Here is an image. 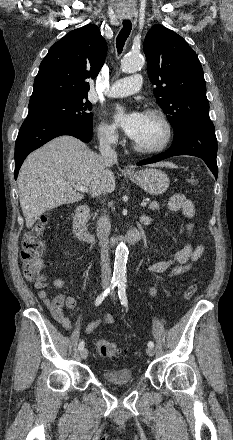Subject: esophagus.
Here are the masks:
<instances>
[{
  "instance_id": "esophagus-1",
  "label": "esophagus",
  "mask_w": 233,
  "mask_h": 440,
  "mask_svg": "<svg viewBox=\"0 0 233 440\" xmlns=\"http://www.w3.org/2000/svg\"><path fill=\"white\" fill-rule=\"evenodd\" d=\"M125 171H126V172H129V173H130V172H133V170H132L131 168H129V167H126Z\"/></svg>"
}]
</instances>
